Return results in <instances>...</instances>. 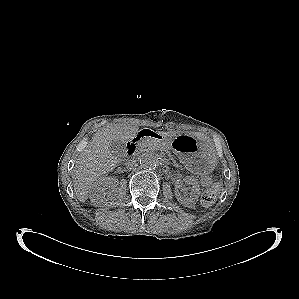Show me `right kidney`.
Here are the masks:
<instances>
[{"label": "right kidney", "instance_id": "1", "mask_svg": "<svg viewBox=\"0 0 299 299\" xmlns=\"http://www.w3.org/2000/svg\"><path fill=\"white\" fill-rule=\"evenodd\" d=\"M118 183H119L118 179L110 178V177H107V176L100 177L95 182V184L92 186V188L90 189L89 197H90L91 203L95 207L103 206L105 204V200L107 201V199H109L111 194H112L110 192L108 194L109 198L106 199L105 198V196L107 194L106 190L111 189L112 192H113L116 189Z\"/></svg>", "mask_w": 299, "mask_h": 299}]
</instances>
